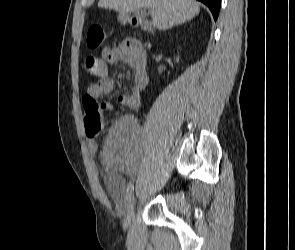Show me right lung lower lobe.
<instances>
[{"mask_svg": "<svg viewBox=\"0 0 295 250\" xmlns=\"http://www.w3.org/2000/svg\"><path fill=\"white\" fill-rule=\"evenodd\" d=\"M198 1L203 2L209 7V9L211 10L213 14L214 19L216 20L220 10L221 0H198Z\"/></svg>", "mask_w": 295, "mask_h": 250, "instance_id": "obj_1", "label": "right lung lower lobe"}]
</instances>
